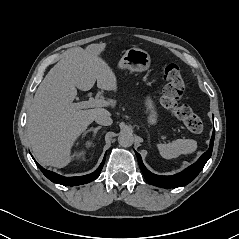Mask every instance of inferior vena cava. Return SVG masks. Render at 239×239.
Returning a JSON list of instances; mask_svg holds the SVG:
<instances>
[{
	"instance_id": "602c4592",
	"label": "inferior vena cava",
	"mask_w": 239,
	"mask_h": 239,
	"mask_svg": "<svg viewBox=\"0 0 239 239\" xmlns=\"http://www.w3.org/2000/svg\"><path fill=\"white\" fill-rule=\"evenodd\" d=\"M110 116L111 114L107 110L103 109L95 115L94 120L100 125L109 126L113 123Z\"/></svg>"
}]
</instances>
